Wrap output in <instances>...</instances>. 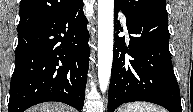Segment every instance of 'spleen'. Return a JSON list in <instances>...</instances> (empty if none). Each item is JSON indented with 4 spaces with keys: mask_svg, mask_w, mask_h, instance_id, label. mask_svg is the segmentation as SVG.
<instances>
[{
    "mask_svg": "<svg viewBox=\"0 0 193 112\" xmlns=\"http://www.w3.org/2000/svg\"><path fill=\"white\" fill-rule=\"evenodd\" d=\"M123 112H164V110L148 103L135 102L128 104Z\"/></svg>",
    "mask_w": 193,
    "mask_h": 112,
    "instance_id": "obj_1",
    "label": "spleen"
}]
</instances>
